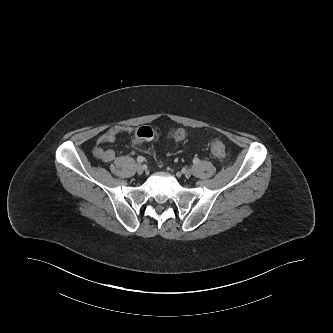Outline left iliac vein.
<instances>
[{
  "label": "left iliac vein",
  "mask_w": 333,
  "mask_h": 333,
  "mask_svg": "<svg viewBox=\"0 0 333 333\" xmlns=\"http://www.w3.org/2000/svg\"><path fill=\"white\" fill-rule=\"evenodd\" d=\"M183 174H184V176H185L186 178H190L191 175H192V171H191V169H185V170L183 171Z\"/></svg>",
  "instance_id": "left-iliac-vein-1"
}]
</instances>
